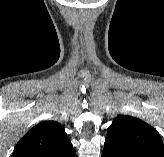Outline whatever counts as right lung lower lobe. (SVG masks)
I'll return each instance as SVG.
<instances>
[{
    "label": "right lung lower lobe",
    "mask_w": 164,
    "mask_h": 157,
    "mask_svg": "<svg viewBox=\"0 0 164 157\" xmlns=\"http://www.w3.org/2000/svg\"><path fill=\"white\" fill-rule=\"evenodd\" d=\"M48 157H77V155L71 142H69Z\"/></svg>",
    "instance_id": "1"
}]
</instances>
